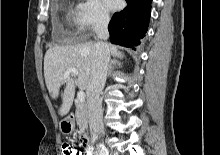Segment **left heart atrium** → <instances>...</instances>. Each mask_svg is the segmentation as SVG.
I'll use <instances>...</instances> for the list:
<instances>
[{
  "instance_id": "39dd6f15",
  "label": "left heart atrium",
  "mask_w": 220,
  "mask_h": 155,
  "mask_svg": "<svg viewBox=\"0 0 220 155\" xmlns=\"http://www.w3.org/2000/svg\"><path fill=\"white\" fill-rule=\"evenodd\" d=\"M103 3L108 9L115 10L120 7L121 0H103Z\"/></svg>"
}]
</instances>
